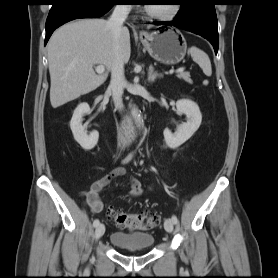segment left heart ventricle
<instances>
[{
    "mask_svg": "<svg viewBox=\"0 0 278 278\" xmlns=\"http://www.w3.org/2000/svg\"><path fill=\"white\" fill-rule=\"evenodd\" d=\"M149 8L157 13H167L171 10V4H163V5H150Z\"/></svg>",
    "mask_w": 278,
    "mask_h": 278,
    "instance_id": "1",
    "label": "left heart ventricle"
}]
</instances>
